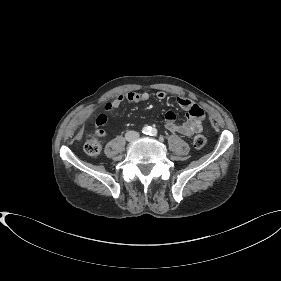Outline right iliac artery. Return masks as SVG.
I'll list each match as a JSON object with an SVG mask.
<instances>
[{
  "instance_id": "82829eb1",
  "label": "right iliac artery",
  "mask_w": 281,
  "mask_h": 281,
  "mask_svg": "<svg viewBox=\"0 0 281 281\" xmlns=\"http://www.w3.org/2000/svg\"><path fill=\"white\" fill-rule=\"evenodd\" d=\"M150 130H151L150 127L146 126V127L143 128L142 132H143V134L148 135V134H150Z\"/></svg>"
}]
</instances>
